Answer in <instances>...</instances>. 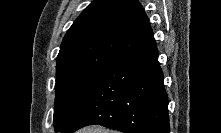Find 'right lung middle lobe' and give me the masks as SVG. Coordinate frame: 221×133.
Wrapping results in <instances>:
<instances>
[{"instance_id":"right-lung-middle-lobe-1","label":"right lung middle lobe","mask_w":221,"mask_h":133,"mask_svg":"<svg viewBox=\"0 0 221 133\" xmlns=\"http://www.w3.org/2000/svg\"><path fill=\"white\" fill-rule=\"evenodd\" d=\"M108 68L65 69L56 72L54 127L65 133L94 84Z\"/></svg>"}]
</instances>
